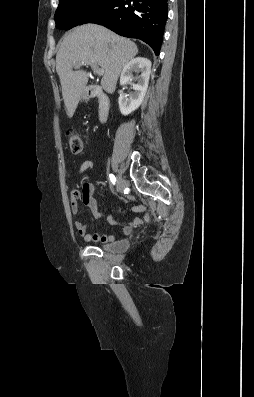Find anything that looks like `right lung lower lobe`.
<instances>
[{
	"instance_id": "1",
	"label": "right lung lower lobe",
	"mask_w": 254,
	"mask_h": 397,
	"mask_svg": "<svg viewBox=\"0 0 254 397\" xmlns=\"http://www.w3.org/2000/svg\"><path fill=\"white\" fill-rule=\"evenodd\" d=\"M168 0H114L106 11L89 23L103 25L115 33L146 42L158 56Z\"/></svg>"
}]
</instances>
